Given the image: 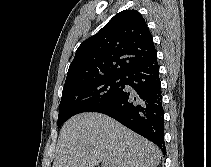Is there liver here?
I'll list each match as a JSON object with an SVG mask.
<instances>
[{
	"label": "liver",
	"instance_id": "obj_1",
	"mask_svg": "<svg viewBox=\"0 0 211 167\" xmlns=\"http://www.w3.org/2000/svg\"><path fill=\"white\" fill-rule=\"evenodd\" d=\"M160 149L114 119L100 113H82L60 131L52 167H157Z\"/></svg>",
	"mask_w": 211,
	"mask_h": 167
}]
</instances>
